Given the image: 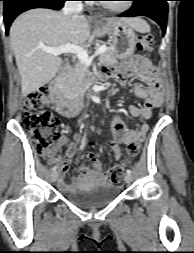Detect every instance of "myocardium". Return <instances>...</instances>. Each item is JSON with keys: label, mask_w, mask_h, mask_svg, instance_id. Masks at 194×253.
I'll return each mask as SVG.
<instances>
[{"label": "myocardium", "mask_w": 194, "mask_h": 253, "mask_svg": "<svg viewBox=\"0 0 194 253\" xmlns=\"http://www.w3.org/2000/svg\"><path fill=\"white\" fill-rule=\"evenodd\" d=\"M102 6L106 10H108V11H110L112 13L121 14V13H124V12L128 11L131 8L132 2H131V0H127L121 6H113V5H110L108 3H104V4H102Z\"/></svg>", "instance_id": "f54148a6"}]
</instances>
